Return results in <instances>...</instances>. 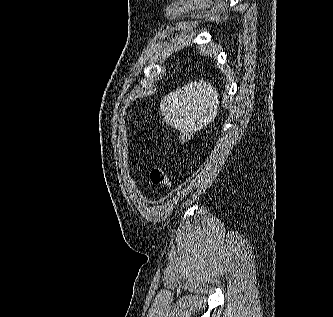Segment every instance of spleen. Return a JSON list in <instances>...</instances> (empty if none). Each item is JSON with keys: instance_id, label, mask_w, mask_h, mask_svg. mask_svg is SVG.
Here are the masks:
<instances>
[{"instance_id": "3e777b00", "label": "spleen", "mask_w": 333, "mask_h": 317, "mask_svg": "<svg viewBox=\"0 0 333 317\" xmlns=\"http://www.w3.org/2000/svg\"><path fill=\"white\" fill-rule=\"evenodd\" d=\"M219 94L203 79L191 82L163 97L160 114L163 121L180 131L205 128L218 113Z\"/></svg>"}]
</instances>
